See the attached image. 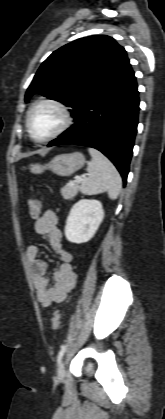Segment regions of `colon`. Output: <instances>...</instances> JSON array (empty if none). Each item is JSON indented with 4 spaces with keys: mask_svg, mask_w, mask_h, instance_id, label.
<instances>
[{
    "mask_svg": "<svg viewBox=\"0 0 165 419\" xmlns=\"http://www.w3.org/2000/svg\"><path fill=\"white\" fill-rule=\"evenodd\" d=\"M29 210H30L31 217L33 219H37L40 216V212H41L40 200L37 198H31L29 200ZM51 322H52L53 329L57 330L60 327L61 315L59 311L54 312Z\"/></svg>",
    "mask_w": 165,
    "mask_h": 419,
    "instance_id": "colon-1",
    "label": "colon"
}]
</instances>
